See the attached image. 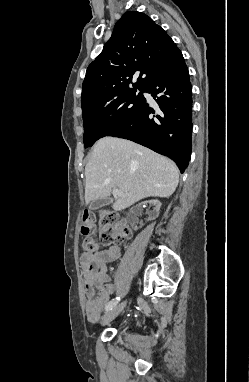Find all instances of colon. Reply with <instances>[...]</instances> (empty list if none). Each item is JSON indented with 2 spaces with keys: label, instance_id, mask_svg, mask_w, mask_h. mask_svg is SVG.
<instances>
[{
  "label": "colon",
  "instance_id": "5ec220e1",
  "mask_svg": "<svg viewBox=\"0 0 249 382\" xmlns=\"http://www.w3.org/2000/svg\"><path fill=\"white\" fill-rule=\"evenodd\" d=\"M99 224L100 243L102 245L121 243L131 234V228L125 221L119 220L112 213L100 211L97 214L85 211L82 216L81 231L84 235L92 233ZM98 242L93 238L87 237L83 241V248L86 252H95L98 249Z\"/></svg>",
  "mask_w": 249,
  "mask_h": 382
}]
</instances>
